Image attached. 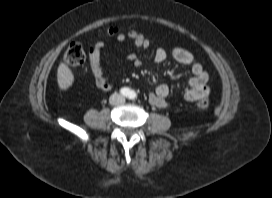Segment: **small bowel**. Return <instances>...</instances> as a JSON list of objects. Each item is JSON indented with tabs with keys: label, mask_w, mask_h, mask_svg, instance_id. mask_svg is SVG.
Returning <instances> with one entry per match:
<instances>
[{
	"label": "small bowel",
	"mask_w": 272,
	"mask_h": 198,
	"mask_svg": "<svg viewBox=\"0 0 272 198\" xmlns=\"http://www.w3.org/2000/svg\"><path fill=\"white\" fill-rule=\"evenodd\" d=\"M127 38L130 39L136 47L147 49L150 46V41L143 34L133 30L128 31L125 35H119L117 41L124 42ZM103 46L102 42H97L89 47V65L96 88L106 92L111 90L113 85L101 67ZM169 56L176 62L190 67L192 77L189 79L188 86L184 93L185 100L188 102H195L201 98L207 97L209 94V76L202 65L194 58L192 53L179 47L173 48L170 52H167L163 48H158L154 53V61L160 64ZM126 60L135 68L141 65V60L135 54H129L126 57ZM169 93L170 89L167 85H159L155 92L149 97L150 104L158 108H168L169 103L167 97Z\"/></svg>",
	"instance_id": "obj_1"
}]
</instances>
